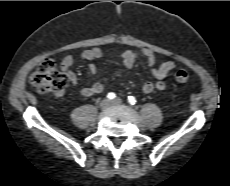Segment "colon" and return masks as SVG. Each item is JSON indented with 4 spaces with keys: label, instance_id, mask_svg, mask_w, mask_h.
<instances>
[{
    "label": "colon",
    "instance_id": "1",
    "mask_svg": "<svg viewBox=\"0 0 230 186\" xmlns=\"http://www.w3.org/2000/svg\"><path fill=\"white\" fill-rule=\"evenodd\" d=\"M173 78L179 83H185L190 79V74L185 70H178L173 74ZM30 83L39 92L58 95L63 92L68 80L58 70L54 61L44 60L32 72Z\"/></svg>",
    "mask_w": 230,
    "mask_h": 186
}]
</instances>
